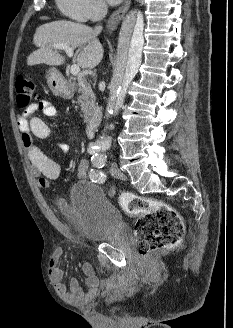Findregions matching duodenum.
<instances>
[{"instance_id": "obj_1", "label": "duodenum", "mask_w": 233, "mask_h": 328, "mask_svg": "<svg viewBox=\"0 0 233 328\" xmlns=\"http://www.w3.org/2000/svg\"><path fill=\"white\" fill-rule=\"evenodd\" d=\"M97 127V118L95 115H92L88 122V132L90 135H93Z\"/></svg>"}]
</instances>
